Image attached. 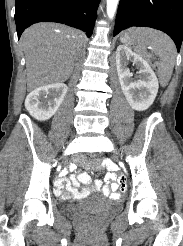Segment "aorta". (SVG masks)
<instances>
[{"mask_svg": "<svg viewBox=\"0 0 183 246\" xmlns=\"http://www.w3.org/2000/svg\"><path fill=\"white\" fill-rule=\"evenodd\" d=\"M106 1H107V15L109 19H113L119 4V0H106Z\"/></svg>", "mask_w": 183, "mask_h": 246, "instance_id": "obj_1", "label": "aorta"}]
</instances>
